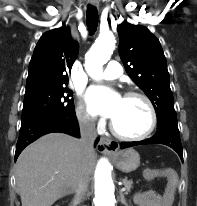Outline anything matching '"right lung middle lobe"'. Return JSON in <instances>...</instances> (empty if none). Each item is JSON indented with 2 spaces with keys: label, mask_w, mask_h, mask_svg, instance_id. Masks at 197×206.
<instances>
[{
  "label": "right lung middle lobe",
  "mask_w": 197,
  "mask_h": 206,
  "mask_svg": "<svg viewBox=\"0 0 197 206\" xmlns=\"http://www.w3.org/2000/svg\"><path fill=\"white\" fill-rule=\"evenodd\" d=\"M71 96L72 92L64 85L26 89L21 124L46 116L75 113Z\"/></svg>",
  "instance_id": "right-lung-middle-lobe-1"
}]
</instances>
